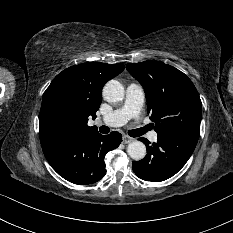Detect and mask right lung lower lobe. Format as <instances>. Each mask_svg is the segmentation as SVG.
Here are the masks:
<instances>
[{
  "instance_id": "obj_1",
  "label": "right lung lower lobe",
  "mask_w": 233,
  "mask_h": 233,
  "mask_svg": "<svg viewBox=\"0 0 233 233\" xmlns=\"http://www.w3.org/2000/svg\"><path fill=\"white\" fill-rule=\"evenodd\" d=\"M121 141L118 132L101 135L93 131L41 145L47 161L60 176L74 184L88 185L104 177V156Z\"/></svg>"
}]
</instances>
